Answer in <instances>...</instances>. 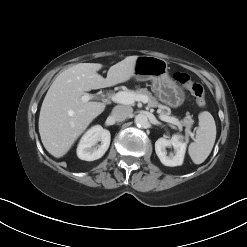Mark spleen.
<instances>
[{"label":"spleen","instance_id":"spleen-1","mask_svg":"<svg viewBox=\"0 0 247 247\" xmlns=\"http://www.w3.org/2000/svg\"><path fill=\"white\" fill-rule=\"evenodd\" d=\"M196 138L190 143L188 153L195 164L203 163L212 151L216 139V125L213 116L204 111L199 114Z\"/></svg>","mask_w":247,"mask_h":247}]
</instances>
